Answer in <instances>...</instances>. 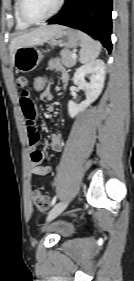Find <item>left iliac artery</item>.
Returning <instances> with one entry per match:
<instances>
[{
  "label": "left iliac artery",
  "instance_id": "44dca946",
  "mask_svg": "<svg viewBox=\"0 0 134 281\" xmlns=\"http://www.w3.org/2000/svg\"><path fill=\"white\" fill-rule=\"evenodd\" d=\"M56 200H57V196H54L51 201V206H54V204L56 203Z\"/></svg>",
  "mask_w": 134,
  "mask_h": 281
}]
</instances>
